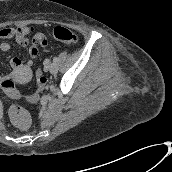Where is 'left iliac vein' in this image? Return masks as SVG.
Wrapping results in <instances>:
<instances>
[{
    "label": "left iliac vein",
    "mask_w": 172,
    "mask_h": 172,
    "mask_svg": "<svg viewBox=\"0 0 172 172\" xmlns=\"http://www.w3.org/2000/svg\"><path fill=\"white\" fill-rule=\"evenodd\" d=\"M46 69L49 70L52 74H56L58 71V67H57L56 63H51V64L47 65Z\"/></svg>",
    "instance_id": "4c4485c4"
}]
</instances>
